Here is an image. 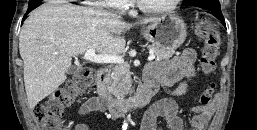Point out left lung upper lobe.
I'll return each mask as SVG.
<instances>
[{
  "instance_id": "5c2ea615",
  "label": "left lung upper lobe",
  "mask_w": 257,
  "mask_h": 130,
  "mask_svg": "<svg viewBox=\"0 0 257 130\" xmlns=\"http://www.w3.org/2000/svg\"><path fill=\"white\" fill-rule=\"evenodd\" d=\"M200 4L205 5H220L219 0H184L183 5Z\"/></svg>"
}]
</instances>
